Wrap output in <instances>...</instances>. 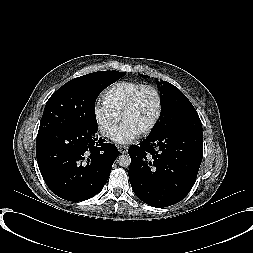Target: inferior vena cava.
I'll use <instances>...</instances> for the list:
<instances>
[{
  "instance_id": "inferior-vena-cava-1",
  "label": "inferior vena cava",
  "mask_w": 253,
  "mask_h": 253,
  "mask_svg": "<svg viewBox=\"0 0 253 253\" xmlns=\"http://www.w3.org/2000/svg\"><path fill=\"white\" fill-rule=\"evenodd\" d=\"M102 134H103L104 136H106V137L110 136V132H109V131H103Z\"/></svg>"
}]
</instances>
